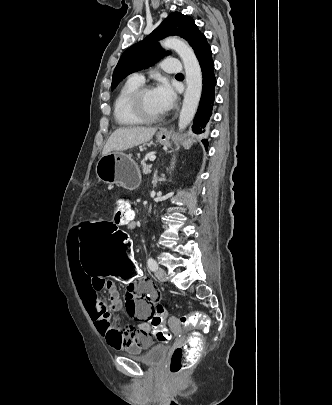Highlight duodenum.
I'll return each mask as SVG.
<instances>
[{
  "label": "duodenum",
  "mask_w": 332,
  "mask_h": 405,
  "mask_svg": "<svg viewBox=\"0 0 332 405\" xmlns=\"http://www.w3.org/2000/svg\"><path fill=\"white\" fill-rule=\"evenodd\" d=\"M128 227H129L131 230H134V229L137 227V217H136V216H133V217H131V218L129 219V221H128Z\"/></svg>",
  "instance_id": "1"
}]
</instances>
